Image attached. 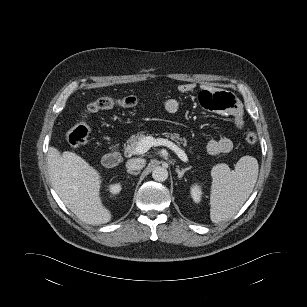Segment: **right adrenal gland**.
<instances>
[{
    "label": "right adrenal gland",
    "mask_w": 307,
    "mask_h": 307,
    "mask_svg": "<svg viewBox=\"0 0 307 307\" xmlns=\"http://www.w3.org/2000/svg\"><path fill=\"white\" fill-rule=\"evenodd\" d=\"M127 173L132 174V175H138L140 172H133V171L127 170Z\"/></svg>",
    "instance_id": "2a0ac1e0"
}]
</instances>
